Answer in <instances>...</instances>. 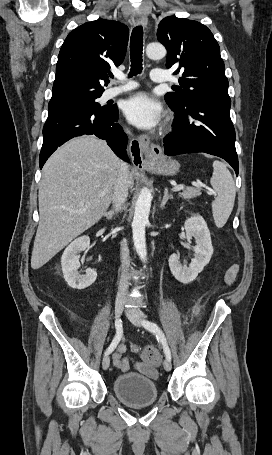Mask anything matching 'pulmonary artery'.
Wrapping results in <instances>:
<instances>
[{
    "label": "pulmonary artery",
    "mask_w": 272,
    "mask_h": 455,
    "mask_svg": "<svg viewBox=\"0 0 272 455\" xmlns=\"http://www.w3.org/2000/svg\"><path fill=\"white\" fill-rule=\"evenodd\" d=\"M120 79L126 80L125 77L119 76ZM151 79L155 83H164L168 81L167 73L162 69H153L151 72ZM136 87L134 82L126 80V83L122 86L112 87L106 90L103 94V98L108 100L119 96L125 92H128Z\"/></svg>",
    "instance_id": "pulmonary-artery-1"
}]
</instances>
